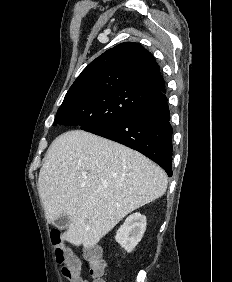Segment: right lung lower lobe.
Listing matches in <instances>:
<instances>
[{"mask_svg": "<svg viewBox=\"0 0 232 282\" xmlns=\"http://www.w3.org/2000/svg\"><path fill=\"white\" fill-rule=\"evenodd\" d=\"M166 95L140 113L85 131L137 150L172 176V126Z\"/></svg>", "mask_w": 232, "mask_h": 282, "instance_id": "98d812e1", "label": "right lung lower lobe"}]
</instances>
